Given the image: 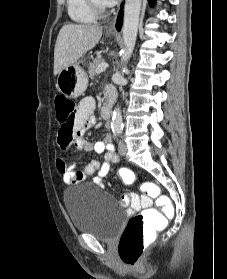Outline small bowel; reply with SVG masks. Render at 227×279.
I'll use <instances>...</instances> for the list:
<instances>
[{
    "label": "small bowel",
    "mask_w": 227,
    "mask_h": 279,
    "mask_svg": "<svg viewBox=\"0 0 227 279\" xmlns=\"http://www.w3.org/2000/svg\"><path fill=\"white\" fill-rule=\"evenodd\" d=\"M109 92L112 94L111 89ZM95 109L96 101L93 97L87 96L83 98L79 102L78 110L75 115V122L78 126L77 131L70 138L60 137L59 145L62 149H67L71 144H74L79 150L103 154L104 161L100 163L97 160H92L83 169L79 170L76 169L75 166L69 163L66 159H58L56 166L58 172L63 178V182L66 185H72L77 182L84 181L92 175H94L93 181L97 184H100L101 179L106 175L109 166L117 161V156L114 153L113 145L108 135H106L103 140L97 142L87 141L82 137L85 129L95 125L96 123V117L94 114ZM121 203L123 205H129L131 210L137 211L149 207L152 202L149 197L141 198L135 193H129L123 198Z\"/></svg>",
    "instance_id": "1"
}]
</instances>
